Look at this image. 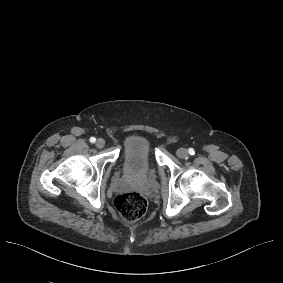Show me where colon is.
Listing matches in <instances>:
<instances>
[{
  "label": "colon",
  "instance_id": "colon-1",
  "mask_svg": "<svg viewBox=\"0 0 283 283\" xmlns=\"http://www.w3.org/2000/svg\"><path fill=\"white\" fill-rule=\"evenodd\" d=\"M114 204L121 218L129 223L139 220L147 209V201L137 192H129L115 198Z\"/></svg>",
  "mask_w": 283,
  "mask_h": 283
}]
</instances>
